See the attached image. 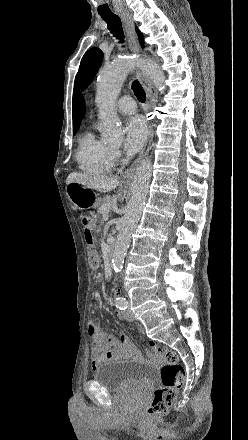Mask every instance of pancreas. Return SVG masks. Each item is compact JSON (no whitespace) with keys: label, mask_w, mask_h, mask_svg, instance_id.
I'll return each mask as SVG.
<instances>
[{"label":"pancreas","mask_w":248,"mask_h":440,"mask_svg":"<svg viewBox=\"0 0 248 440\" xmlns=\"http://www.w3.org/2000/svg\"><path fill=\"white\" fill-rule=\"evenodd\" d=\"M110 203H111V197L108 195L103 198H99L97 200V206L99 207L98 212L103 215V210H102L103 207H110Z\"/></svg>","instance_id":"obj_1"}]
</instances>
